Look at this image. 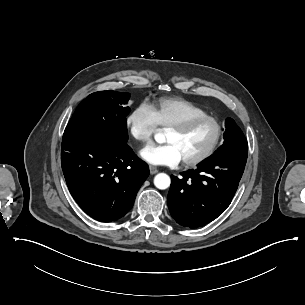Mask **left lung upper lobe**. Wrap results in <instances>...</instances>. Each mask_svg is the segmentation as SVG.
Instances as JSON below:
<instances>
[{
	"instance_id": "1",
	"label": "left lung upper lobe",
	"mask_w": 305,
	"mask_h": 305,
	"mask_svg": "<svg viewBox=\"0 0 305 305\" xmlns=\"http://www.w3.org/2000/svg\"><path fill=\"white\" fill-rule=\"evenodd\" d=\"M225 126V141L216 153L229 150H248L247 140L241 129L234 122V120L231 118H227L225 121Z\"/></svg>"
}]
</instances>
